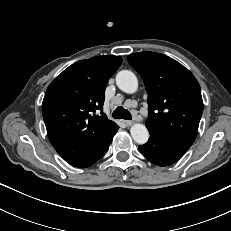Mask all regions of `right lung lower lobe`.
Returning <instances> with one entry per match:
<instances>
[{"instance_id": "right-lung-lower-lobe-1", "label": "right lung lower lobe", "mask_w": 231, "mask_h": 231, "mask_svg": "<svg viewBox=\"0 0 231 231\" xmlns=\"http://www.w3.org/2000/svg\"><path fill=\"white\" fill-rule=\"evenodd\" d=\"M111 143V142H110ZM110 143L100 152V154L97 156V158L92 162V164L93 163H95L97 160H99L105 153H106V151L108 150V148H109V145H110ZM91 164V165H92Z\"/></svg>"}]
</instances>
